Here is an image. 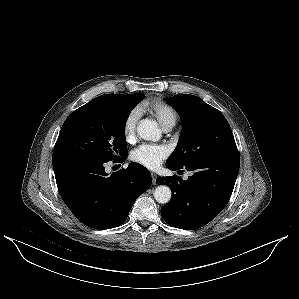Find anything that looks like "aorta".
I'll return each mask as SVG.
<instances>
[{
  "label": "aorta",
  "mask_w": 299,
  "mask_h": 299,
  "mask_svg": "<svg viewBox=\"0 0 299 299\" xmlns=\"http://www.w3.org/2000/svg\"><path fill=\"white\" fill-rule=\"evenodd\" d=\"M137 133L141 139L158 141L161 137V132L155 122L149 119H143L138 123ZM154 198L160 204H166L171 200V189L166 185H159L154 190Z\"/></svg>",
  "instance_id": "1"
}]
</instances>
